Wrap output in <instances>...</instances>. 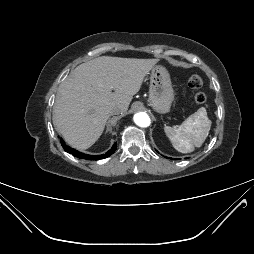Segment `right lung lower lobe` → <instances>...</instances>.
Masks as SVG:
<instances>
[{
    "label": "right lung lower lobe",
    "instance_id": "98d812e1",
    "mask_svg": "<svg viewBox=\"0 0 254 254\" xmlns=\"http://www.w3.org/2000/svg\"><path fill=\"white\" fill-rule=\"evenodd\" d=\"M64 150L68 153H71L73 156L75 157H78V158H82V159H87V160H99V159H104V158H107L109 157L110 155H112L116 148H117V143H114V145L112 146V148L106 152L105 154H102V155H87V154H84V153H80L79 151H76L72 148H70L69 146L65 145L64 141L61 139L60 140Z\"/></svg>",
    "mask_w": 254,
    "mask_h": 254
}]
</instances>
